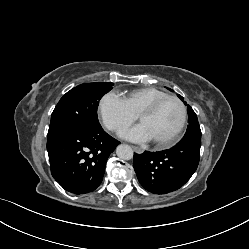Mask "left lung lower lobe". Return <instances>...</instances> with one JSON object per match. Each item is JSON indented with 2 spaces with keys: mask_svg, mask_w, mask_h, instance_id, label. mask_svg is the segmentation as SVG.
Masks as SVG:
<instances>
[{
  "mask_svg": "<svg viewBox=\"0 0 249 249\" xmlns=\"http://www.w3.org/2000/svg\"><path fill=\"white\" fill-rule=\"evenodd\" d=\"M201 139H182L159 152L134 153L133 167L141 185L154 194H166L182 187L196 171Z\"/></svg>",
  "mask_w": 249,
  "mask_h": 249,
  "instance_id": "1",
  "label": "left lung lower lobe"
}]
</instances>
